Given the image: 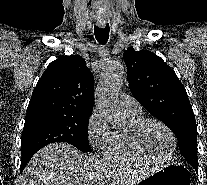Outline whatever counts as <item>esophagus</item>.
I'll use <instances>...</instances> for the list:
<instances>
[{"label":"esophagus","mask_w":207,"mask_h":185,"mask_svg":"<svg viewBox=\"0 0 207 185\" xmlns=\"http://www.w3.org/2000/svg\"><path fill=\"white\" fill-rule=\"evenodd\" d=\"M96 14H105V9H96ZM96 20H105V15H96ZM100 23L105 24V22Z\"/></svg>","instance_id":"34e87169"}]
</instances>
